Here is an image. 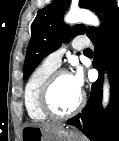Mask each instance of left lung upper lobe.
Here are the masks:
<instances>
[{
  "label": "left lung upper lobe",
  "instance_id": "obj_1",
  "mask_svg": "<svg viewBox=\"0 0 119 141\" xmlns=\"http://www.w3.org/2000/svg\"><path fill=\"white\" fill-rule=\"evenodd\" d=\"M69 2L70 0H55L37 13L31 25V39L24 63V79L31 75L45 56L57 50L62 42L84 33L91 37L96 32L97 28L94 27L76 25L71 29L62 22ZM79 6L94 11L101 24L119 9L115 0H79Z\"/></svg>",
  "mask_w": 119,
  "mask_h": 141
}]
</instances>
